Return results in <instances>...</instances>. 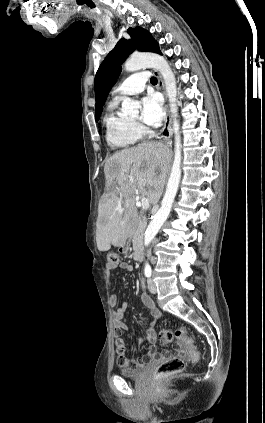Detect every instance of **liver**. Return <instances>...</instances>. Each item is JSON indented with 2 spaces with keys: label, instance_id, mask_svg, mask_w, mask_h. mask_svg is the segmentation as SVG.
Returning a JSON list of instances; mask_svg holds the SVG:
<instances>
[{
  "label": "liver",
  "instance_id": "6515ba94",
  "mask_svg": "<svg viewBox=\"0 0 265 423\" xmlns=\"http://www.w3.org/2000/svg\"><path fill=\"white\" fill-rule=\"evenodd\" d=\"M170 162L169 149L159 142L142 143L122 149L110 156L104 167L108 186L114 190L105 194L99 204L96 242L99 251L119 246L128 233V216L135 213V193L138 191L156 204L163 192ZM125 212L118 208L119 200Z\"/></svg>",
  "mask_w": 265,
  "mask_h": 423
}]
</instances>
